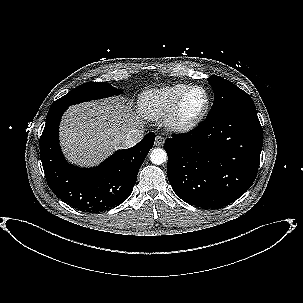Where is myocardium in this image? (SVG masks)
Segmentation results:
<instances>
[{
	"label": "myocardium",
	"instance_id": "myocardium-1",
	"mask_svg": "<svg viewBox=\"0 0 303 303\" xmlns=\"http://www.w3.org/2000/svg\"><path fill=\"white\" fill-rule=\"evenodd\" d=\"M199 89L204 93L205 96V104L201 111L197 114L186 117L183 114V107L185 101L189 94L193 91ZM210 108V96L208 91L200 86V85H192L190 86L178 99L172 110L168 113L166 117V125L167 127L177 133H186L194 128H196L205 118Z\"/></svg>",
	"mask_w": 303,
	"mask_h": 303
}]
</instances>
